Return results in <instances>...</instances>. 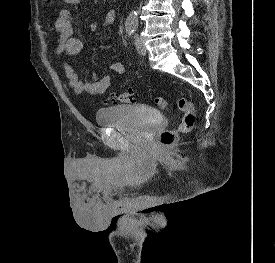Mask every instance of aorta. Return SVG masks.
I'll list each match as a JSON object with an SVG mask.
<instances>
[{
  "instance_id": "aorta-1",
  "label": "aorta",
  "mask_w": 275,
  "mask_h": 263,
  "mask_svg": "<svg viewBox=\"0 0 275 263\" xmlns=\"http://www.w3.org/2000/svg\"><path fill=\"white\" fill-rule=\"evenodd\" d=\"M127 28L135 29L138 26V15L136 11H131L125 23Z\"/></svg>"
}]
</instances>
